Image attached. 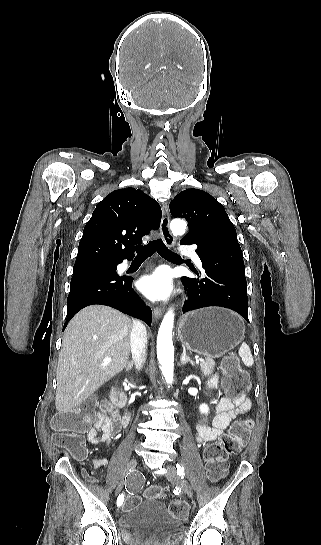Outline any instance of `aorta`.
I'll return each instance as SVG.
<instances>
[{
  "label": "aorta",
  "instance_id": "aorta-1",
  "mask_svg": "<svg viewBox=\"0 0 321 545\" xmlns=\"http://www.w3.org/2000/svg\"><path fill=\"white\" fill-rule=\"evenodd\" d=\"M187 224L184 220L174 219L170 228L174 235H183ZM174 325L173 310H169L160 325L157 336V357L161 365L162 374L167 383L173 381L174 346L172 342V329Z\"/></svg>",
  "mask_w": 321,
  "mask_h": 545
}]
</instances>
